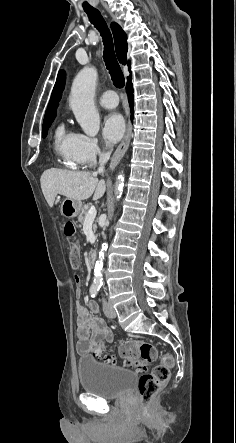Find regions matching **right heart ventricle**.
<instances>
[{
  "instance_id": "right-heart-ventricle-1",
  "label": "right heart ventricle",
  "mask_w": 236,
  "mask_h": 443,
  "mask_svg": "<svg viewBox=\"0 0 236 443\" xmlns=\"http://www.w3.org/2000/svg\"><path fill=\"white\" fill-rule=\"evenodd\" d=\"M77 134L59 125L53 136V150L59 163L68 169H78L82 163L76 152Z\"/></svg>"
}]
</instances>
